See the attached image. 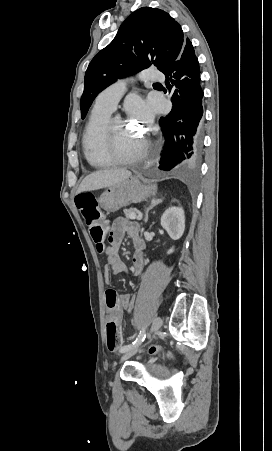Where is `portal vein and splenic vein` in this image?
Listing matches in <instances>:
<instances>
[{
    "label": "portal vein and splenic vein",
    "instance_id": "obj_1",
    "mask_svg": "<svg viewBox=\"0 0 272 451\" xmlns=\"http://www.w3.org/2000/svg\"><path fill=\"white\" fill-rule=\"evenodd\" d=\"M130 220H136L135 212H133V214H130ZM137 220H141V216H138Z\"/></svg>",
    "mask_w": 272,
    "mask_h": 451
}]
</instances>
